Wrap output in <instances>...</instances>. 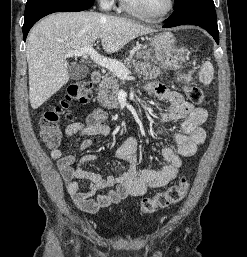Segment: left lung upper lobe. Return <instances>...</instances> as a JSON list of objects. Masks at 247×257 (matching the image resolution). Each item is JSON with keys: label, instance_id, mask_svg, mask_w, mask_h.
<instances>
[{"label": "left lung upper lobe", "instance_id": "obj_1", "mask_svg": "<svg viewBox=\"0 0 247 257\" xmlns=\"http://www.w3.org/2000/svg\"><path fill=\"white\" fill-rule=\"evenodd\" d=\"M175 1V8H178L182 5H184L185 3L192 1V0H174Z\"/></svg>", "mask_w": 247, "mask_h": 257}]
</instances>
